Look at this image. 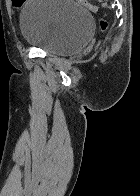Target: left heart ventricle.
Returning a JSON list of instances; mask_svg holds the SVG:
<instances>
[{
    "label": "left heart ventricle",
    "instance_id": "left-heart-ventricle-1",
    "mask_svg": "<svg viewBox=\"0 0 140 196\" xmlns=\"http://www.w3.org/2000/svg\"><path fill=\"white\" fill-rule=\"evenodd\" d=\"M45 192H56V191H45Z\"/></svg>",
    "mask_w": 140,
    "mask_h": 196
}]
</instances>
